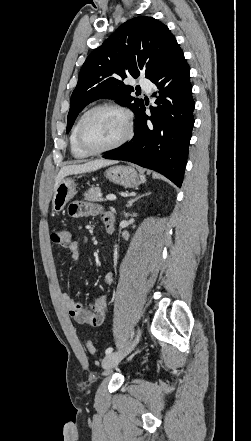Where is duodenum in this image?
I'll use <instances>...</instances> for the list:
<instances>
[{
    "instance_id": "duodenum-1",
    "label": "duodenum",
    "mask_w": 251,
    "mask_h": 441,
    "mask_svg": "<svg viewBox=\"0 0 251 441\" xmlns=\"http://www.w3.org/2000/svg\"><path fill=\"white\" fill-rule=\"evenodd\" d=\"M105 229L108 234H112L114 232V219H109L105 221Z\"/></svg>"
}]
</instances>
